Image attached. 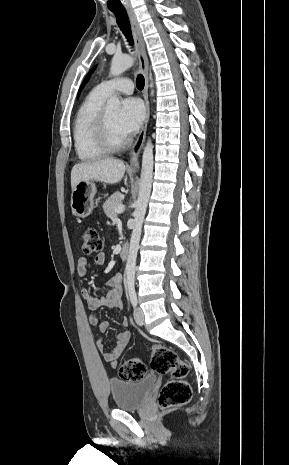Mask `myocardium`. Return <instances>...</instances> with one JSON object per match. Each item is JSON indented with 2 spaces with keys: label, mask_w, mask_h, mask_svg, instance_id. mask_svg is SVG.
Masks as SVG:
<instances>
[{
  "label": "myocardium",
  "mask_w": 289,
  "mask_h": 465,
  "mask_svg": "<svg viewBox=\"0 0 289 465\" xmlns=\"http://www.w3.org/2000/svg\"><path fill=\"white\" fill-rule=\"evenodd\" d=\"M96 140L99 146L107 152L120 150L128 143V140L125 137L118 140L113 136L105 108L101 110L97 118Z\"/></svg>",
  "instance_id": "f54148a6"
}]
</instances>
